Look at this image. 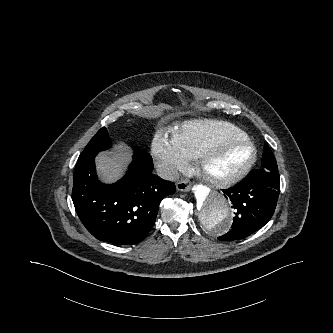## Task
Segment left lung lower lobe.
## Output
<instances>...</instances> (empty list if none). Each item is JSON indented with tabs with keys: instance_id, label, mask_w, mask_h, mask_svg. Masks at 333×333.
Returning a JSON list of instances; mask_svg holds the SVG:
<instances>
[{
	"instance_id": "1",
	"label": "left lung lower lobe",
	"mask_w": 333,
	"mask_h": 333,
	"mask_svg": "<svg viewBox=\"0 0 333 333\" xmlns=\"http://www.w3.org/2000/svg\"><path fill=\"white\" fill-rule=\"evenodd\" d=\"M263 153H271L267 144L264 145ZM223 192L233 203L235 217L231 230L218 239H242L263 227L271 219L280 192V178L257 175L254 169L243 181Z\"/></svg>"
}]
</instances>
